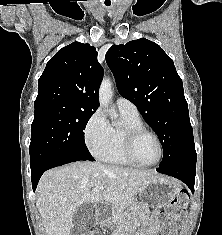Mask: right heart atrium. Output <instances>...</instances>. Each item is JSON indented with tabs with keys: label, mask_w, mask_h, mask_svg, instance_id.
I'll list each match as a JSON object with an SVG mask.
<instances>
[{
	"label": "right heart atrium",
	"mask_w": 222,
	"mask_h": 235,
	"mask_svg": "<svg viewBox=\"0 0 222 235\" xmlns=\"http://www.w3.org/2000/svg\"><path fill=\"white\" fill-rule=\"evenodd\" d=\"M110 137V124L101 109H97L88 119L84 128V141L94 156H99L106 148Z\"/></svg>",
	"instance_id": "obj_1"
}]
</instances>
